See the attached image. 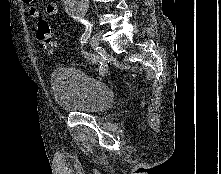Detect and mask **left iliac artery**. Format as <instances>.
Returning a JSON list of instances; mask_svg holds the SVG:
<instances>
[{"mask_svg": "<svg viewBox=\"0 0 221 174\" xmlns=\"http://www.w3.org/2000/svg\"><path fill=\"white\" fill-rule=\"evenodd\" d=\"M82 23L85 25L86 29L83 35L80 38V45L83 47L87 41L88 38L91 35L92 32V24L88 20H83ZM85 57L92 60L93 62L97 63L99 65V74L104 75L108 72L109 65L105 58L100 57L99 55L83 52Z\"/></svg>", "mask_w": 221, "mask_h": 174, "instance_id": "1", "label": "left iliac artery"}]
</instances>
